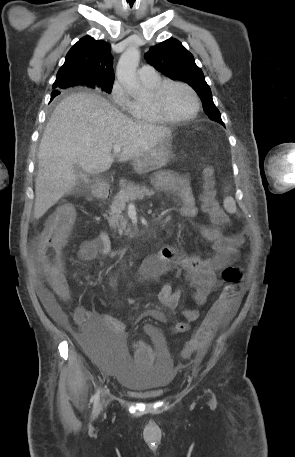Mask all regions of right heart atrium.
Here are the masks:
<instances>
[{
  "instance_id": "1",
  "label": "right heart atrium",
  "mask_w": 295,
  "mask_h": 457,
  "mask_svg": "<svg viewBox=\"0 0 295 457\" xmlns=\"http://www.w3.org/2000/svg\"><path fill=\"white\" fill-rule=\"evenodd\" d=\"M110 96L112 101L123 111L131 112L133 107V101L128 96L124 88L119 82H115L112 85Z\"/></svg>"
}]
</instances>
